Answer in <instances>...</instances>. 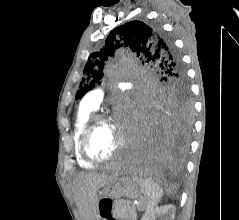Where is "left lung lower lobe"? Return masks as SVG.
<instances>
[{"label":"left lung lower lobe","instance_id":"1","mask_svg":"<svg viewBox=\"0 0 239 220\" xmlns=\"http://www.w3.org/2000/svg\"><path fill=\"white\" fill-rule=\"evenodd\" d=\"M141 136L129 163L153 172L182 164L188 148L189 127L171 112L147 110L138 121Z\"/></svg>","mask_w":239,"mask_h":220}]
</instances>
